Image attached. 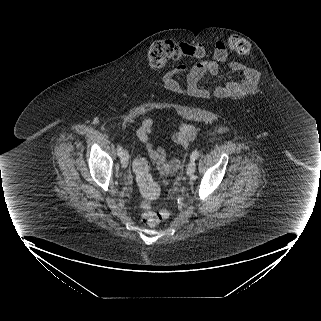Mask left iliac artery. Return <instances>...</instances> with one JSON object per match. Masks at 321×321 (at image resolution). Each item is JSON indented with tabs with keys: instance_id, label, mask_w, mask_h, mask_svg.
Masks as SVG:
<instances>
[{
	"instance_id": "obj_1",
	"label": "left iliac artery",
	"mask_w": 321,
	"mask_h": 321,
	"mask_svg": "<svg viewBox=\"0 0 321 321\" xmlns=\"http://www.w3.org/2000/svg\"><path fill=\"white\" fill-rule=\"evenodd\" d=\"M200 156V153L195 151L192 153V155L190 156L191 160H196L198 157Z\"/></svg>"
}]
</instances>
